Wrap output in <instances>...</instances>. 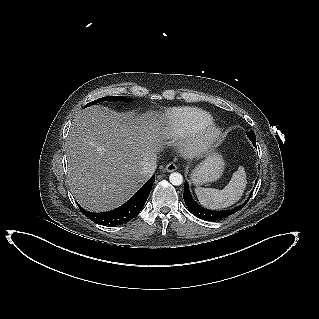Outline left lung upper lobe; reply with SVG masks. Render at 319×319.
<instances>
[{"instance_id": "obj_1", "label": "left lung upper lobe", "mask_w": 319, "mask_h": 319, "mask_svg": "<svg viewBox=\"0 0 319 319\" xmlns=\"http://www.w3.org/2000/svg\"><path fill=\"white\" fill-rule=\"evenodd\" d=\"M247 136L249 137V139H250L252 142H256V137H255V134H254V132H253L252 130L247 133Z\"/></svg>"}]
</instances>
